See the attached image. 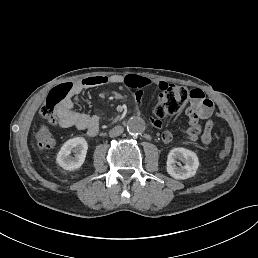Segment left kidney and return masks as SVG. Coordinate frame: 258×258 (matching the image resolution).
Returning <instances> with one entry per match:
<instances>
[{
	"instance_id": "obj_1",
	"label": "left kidney",
	"mask_w": 258,
	"mask_h": 258,
	"mask_svg": "<svg viewBox=\"0 0 258 258\" xmlns=\"http://www.w3.org/2000/svg\"><path fill=\"white\" fill-rule=\"evenodd\" d=\"M181 161L183 165L177 166V161ZM198 158L194 152L185 148H174L168 154L167 170L175 179H186L194 174L198 168Z\"/></svg>"
}]
</instances>
